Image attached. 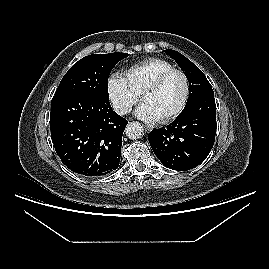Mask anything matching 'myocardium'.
Returning <instances> with one entry per match:
<instances>
[{"label": "myocardium", "instance_id": "1", "mask_svg": "<svg viewBox=\"0 0 269 269\" xmlns=\"http://www.w3.org/2000/svg\"><path fill=\"white\" fill-rule=\"evenodd\" d=\"M180 74L185 82V94H184V98L181 102V104L178 106V108H176L173 112H171L170 114H168L167 116L158 119V121L160 123H167L170 122L172 120H174L176 117H178L186 108V106L188 105L189 99H190V95H191V82L190 79L187 75V73L181 69H177V68H173L171 70H168L162 74H160L158 77H156L150 84H148L143 91L141 92V99L143 100L145 95L149 94V93H153L155 91H157L162 84L173 74Z\"/></svg>", "mask_w": 269, "mask_h": 269}]
</instances>
